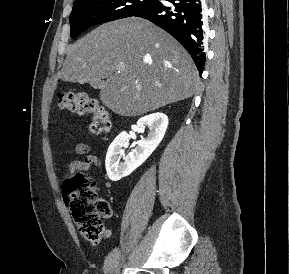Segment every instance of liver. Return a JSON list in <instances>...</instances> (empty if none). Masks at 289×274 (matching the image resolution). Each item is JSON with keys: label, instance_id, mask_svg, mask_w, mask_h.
<instances>
[{"label": "liver", "instance_id": "obj_1", "mask_svg": "<svg viewBox=\"0 0 289 274\" xmlns=\"http://www.w3.org/2000/svg\"><path fill=\"white\" fill-rule=\"evenodd\" d=\"M59 78L99 84L120 116H139L190 98L199 74L188 52L151 22L131 17L100 25L70 45Z\"/></svg>", "mask_w": 289, "mask_h": 274}]
</instances>
